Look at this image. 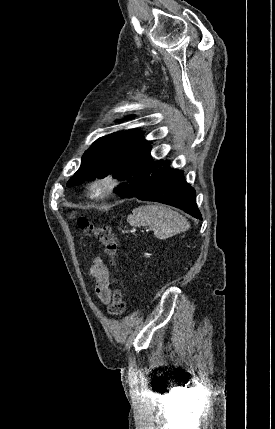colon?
<instances>
[{
	"label": "colon",
	"mask_w": 275,
	"mask_h": 429,
	"mask_svg": "<svg viewBox=\"0 0 275 429\" xmlns=\"http://www.w3.org/2000/svg\"><path fill=\"white\" fill-rule=\"evenodd\" d=\"M78 227L83 231H90L101 242L106 255L111 262L114 261L118 251V240L108 225L95 226L88 218L80 216L77 218ZM126 310V303L121 290L116 289L113 293L112 301L108 306V312L112 316H121Z\"/></svg>",
	"instance_id": "5ec220e1"
}]
</instances>
